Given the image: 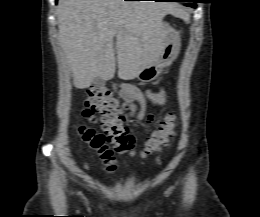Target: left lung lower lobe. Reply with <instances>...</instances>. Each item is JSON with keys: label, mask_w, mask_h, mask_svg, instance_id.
<instances>
[{"label": "left lung lower lobe", "mask_w": 260, "mask_h": 217, "mask_svg": "<svg viewBox=\"0 0 260 217\" xmlns=\"http://www.w3.org/2000/svg\"><path fill=\"white\" fill-rule=\"evenodd\" d=\"M155 1H170V2H172V1H177V2H193V3H191V4H188L187 6H190V7H193V8H195L196 7V4H194V3H197L198 2V0H155Z\"/></svg>", "instance_id": "obj_1"}]
</instances>
